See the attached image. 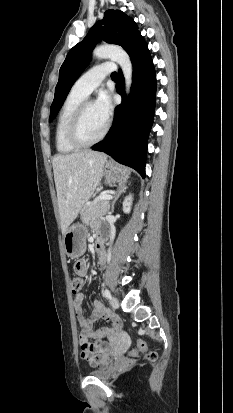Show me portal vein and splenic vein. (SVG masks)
Here are the masks:
<instances>
[{"mask_svg": "<svg viewBox=\"0 0 233 413\" xmlns=\"http://www.w3.org/2000/svg\"><path fill=\"white\" fill-rule=\"evenodd\" d=\"M102 199L110 200V199H112V195L111 194L100 195L95 199V201L102 200Z\"/></svg>", "mask_w": 233, "mask_h": 413, "instance_id": "1", "label": "portal vein and splenic vein"}]
</instances>
